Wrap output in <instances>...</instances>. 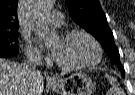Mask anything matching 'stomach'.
<instances>
[{
	"instance_id": "1",
	"label": "stomach",
	"mask_w": 135,
	"mask_h": 95,
	"mask_svg": "<svg viewBox=\"0 0 135 95\" xmlns=\"http://www.w3.org/2000/svg\"><path fill=\"white\" fill-rule=\"evenodd\" d=\"M60 95H92L94 84L89 76L76 72L51 84Z\"/></svg>"
}]
</instances>
